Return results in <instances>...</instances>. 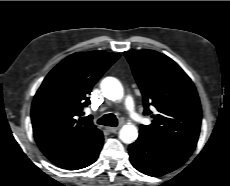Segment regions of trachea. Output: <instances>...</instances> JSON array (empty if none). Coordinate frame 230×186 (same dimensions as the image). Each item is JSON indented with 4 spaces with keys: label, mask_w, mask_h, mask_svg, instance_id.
<instances>
[{
    "label": "trachea",
    "mask_w": 230,
    "mask_h": 186,
    "mask_svg": "<svg viewBox=\"0 0 230 186\" xmlns=\"http://www.w3.org/2000/svg\"><path fill=\"white\" fill-rule=\"evenodd\" d=\"M98 124L100 125H105V126H112V127H116L117 126V118L114 114L110 113V114H105L103 115L98 121Z\"/></svg>",
    "instance_id": "1"
}]
</instances>
